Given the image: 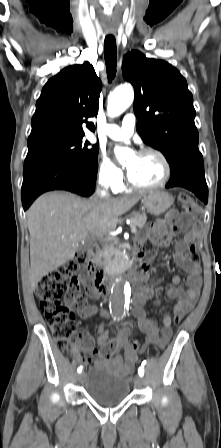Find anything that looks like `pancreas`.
<instances>
[{
	"label": "pancreas",
	"mask_w": 221,
	"mask_h": 448,
	"mask_svg": "<svg viewBox=\"0 0 221 448\" xmlns=\"http://www.w3.org/2000/svg\"><path fill=\"white\" fill-rule=\"evenodd\" d=\"M147 221L146 214H137L131 217V226L143 228ZM118 241L111 239L99 254L102 265L106 271H117L123 265L122 252L116 248Z\"/></svg>",
	"instance_id": "obj_1"
}]
</instances>
